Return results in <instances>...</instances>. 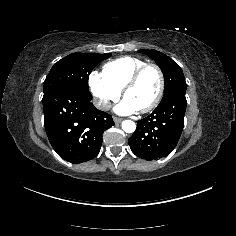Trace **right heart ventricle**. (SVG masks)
Returning a JSON list of instances; mask_svg holds the SVG:
<instances>
[{"label": "right heart ventricle", "instance_id": "obj_1", "mask_svg": "<svg viewBox=\"0 0 236 236\" xmlns=\"http://www.w3.org/2000/svg\"><path fill=\"white\" fill-rule=\"evenodd\" d=\"M145 63V60L134 56L119 57L107 62L102 68V74L116 90L121 92L132 73Z\"/></svg>", "mask_w": 236, "mask_h": 236}]
</instances>
